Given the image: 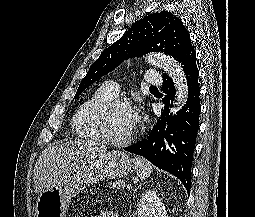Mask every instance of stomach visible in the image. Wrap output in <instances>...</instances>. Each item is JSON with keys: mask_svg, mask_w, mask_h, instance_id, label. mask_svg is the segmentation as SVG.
Segmentation results:
<instances>
[{"mask_svg": "<svg viewBox=\"0 0 255 217\" xmlns=\"http://www.w3.org/2000/svg\"><path fill=\"white\" fill-rule=\"evenodd\" d=\"M131 158L122 151L108 152L100 161L69 176L60 185L39 194L34 217H64L72 196L97 181L126 176Z\"/></svg>", "mask_w": 255, "mask_h": 217, "instance_id": "0dacf381", "label": "stomach"}]
</instances>
